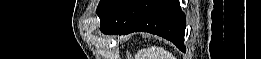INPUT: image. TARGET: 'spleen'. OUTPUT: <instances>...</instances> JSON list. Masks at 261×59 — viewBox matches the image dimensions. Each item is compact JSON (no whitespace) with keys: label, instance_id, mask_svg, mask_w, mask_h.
Instances as JSON below:
<instances>
[{"label":"spleen","instance_id":"obj_1","mask_svg":"<svg viewBox=\"0 0 261 59\" xmlns=\"http://www.w3.org/2000/svg\"><path fill=\"white\" fill-rule=\"evenodd\" d=\"M144 59H174V56L162 47L153 46L141 51Z\"/></svg>","mask_w":261,"mask_h":59}]
</instances>
